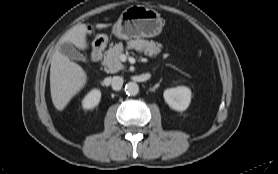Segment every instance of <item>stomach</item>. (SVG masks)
Wrapping results in <instances>:
<instances>
[{"mask_svg": "<svg viewBox=\"0 0 278 174\" xmlns=\"http://www.w3.org/2000/svg\"><path fill=\"white\" fill-rule=\"evenodd\" d=\"M163 20L154 9L143 5H131L120 15L113 26V34L121 39L151 38L162 31Z\"/></svg>", "mask_w": 278, "mask_h": 174, "instance_id": "obj_1", "label": "stomach"}]
</instances>
